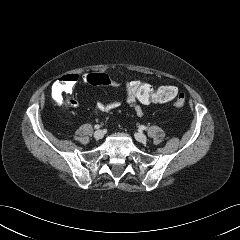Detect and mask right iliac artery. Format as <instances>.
<instances>
[{"instance_id":"1","label":"right iliac artery","mask_w":240,"mask_h":240,"mask_svg":"<svg viewBox=\"0 0 240 240\" xmlns=\"http://www.w3.org/2000/svg\"><path fill=\"white\" fill-rule=\"evenodd\" d=\"M101 126L99 124L95 125L94 128L95 129H99Z\"/></svg>"}]
</instances>
